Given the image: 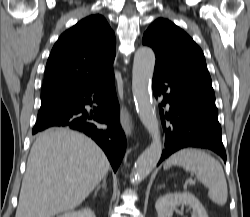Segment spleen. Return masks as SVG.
<instances>
[{
    "label": "spleen",
    "instance_id": "1",
    "mask_svg": "<svg viewBox=\"0 0 250 217\" xmlns=\"http://www.w3.org/2000/svg\"><path fill=\"white\" fill-rule=\"evenodd\" d=\"M173 165L193 172L196 178L208 187V196L215 204H226L228 189L225 174L220 162L210 154L199 149H182L165 161L164 169Z\"/></svg>",
    "mask_w": 250,
    "mask_h": 217
}]
</instances>
